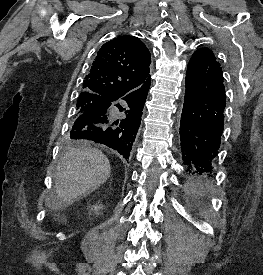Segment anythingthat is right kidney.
I'll return each mask as SVG.
<instances>
[{
    "mask_svg": "<svg viewBox=\"0 0 263 275\" xmlns=\"http://www.w3.org/2000/svg\"><path fill=\"white\" fill-rule=\"evenodd\" d=\"M103 208V206L100 204V205H94L92 208H91V210L92 211H94V212H96V213H98V211L100 210V209H102Z\"/></svg>",
    "mask_w": 263,
    "mask_h": 275,
    "instance_id": "right-kidney-1",
    "label": "right kidney"
}]
</instances>
